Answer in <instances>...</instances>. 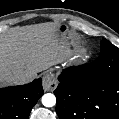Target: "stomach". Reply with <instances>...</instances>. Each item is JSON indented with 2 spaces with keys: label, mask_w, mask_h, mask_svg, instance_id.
Returning <instances> with one entry per match:
<instances>
[{
  "label": "stomach",
  "mask_w": 119,
  "mask_h": 119,
  "mask_svg": "<svg viewBox=\"0 0 119 119\" xmlns=\"http://www.w3.org/2000/svg\"><path fill=\"white\" fill-rule=\"evenodd\" d=\"M69 29L65 24H59L58 29H57V34L59 36V39L64 43L65 49H64V56H63V60H69L70 59V53L68 48L66 47L65 44V39L68 35Z\"/></svg>",
  "instance_id": "0dacf381"
}]
</instances>
